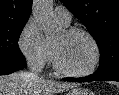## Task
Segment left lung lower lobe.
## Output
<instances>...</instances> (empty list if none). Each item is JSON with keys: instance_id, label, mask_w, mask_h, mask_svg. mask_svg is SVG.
<instances>
[{"instance_id": "obj_1", "label": "left lung lower lobe", "mask_w": 119, "mask_h": 95, "mask_svg": "<svg viewBox=\"0 0 119 95\" xmlns=\"http://www.w3.org/2000/svg\"><path fill=\"white\" fill-rule=\"evenodd\" d=\"M66 81H72V82H90V81H118L119 82V71L114 72L110 75L103 76L99 73H93L90 76L83 77V78H64Z\"/></svg>"}]
</instances>
